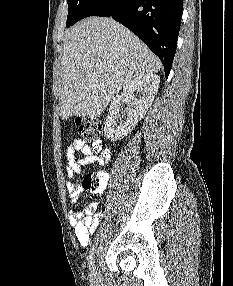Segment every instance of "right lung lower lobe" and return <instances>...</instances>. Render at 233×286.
Returning a JSON list of instances; mask_svg holds the SVG:
<instances>
[{
	"instance_id": "98d812e1",
	"label": "right lung lower lobe",
	"mask_w": 233,
	"mask_h": 286,
	"mask_svg": "<svg viewBox=\"0 0 233 286\" xmlns=\"http://www.w3.org/2000/svg\"><path fill=\"white\" fill-rule=\"evenodd\" d=\"M182 9L183 0H93L77 21L103 16L120 22L160 58L167 78L176 52Z\"/></svg>"
}]
</instances>
